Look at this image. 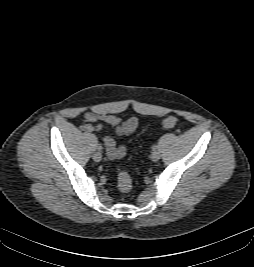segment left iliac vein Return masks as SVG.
<instances>
[{"instance_id":"left-iliac-vein-1","label":"left iliac vein","mask_w":254,"mask_h":267,"mask_svg":"<svg viewBox=\"0 0 254 267\" xmlns=\"http://www.w3.org/2000/svg\"><path fill=\"white\" fill-rule=\"evenodd\" d=\"M159 159H160V152L157 151V150L153 151L152 154H151V160L156 162Z\"/></svg>"}]
</instances>
